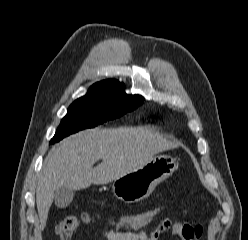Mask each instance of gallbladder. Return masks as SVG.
Segmentation results:
<instances>
[{
  "label": "gallbladder",
  "instance_id": "bac80fb5",
  "mask_svg": "<svg viewBox=\"0 0 248 240\" xmlns=\"http://www.w3.org/2000/svg\"><path fill=\"white\" fill-rule=\"evenodd\" d=\"M74 198V191L68 187H60L54 193V201L58 208H66Z\"/></svg>",
  "mask_w": 248,
  "mask_h": 240
}]
</instances>
